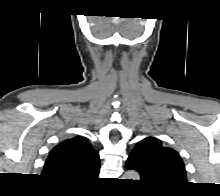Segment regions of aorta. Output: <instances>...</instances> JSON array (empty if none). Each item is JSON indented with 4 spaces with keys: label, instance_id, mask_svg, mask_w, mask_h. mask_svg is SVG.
Segmentation results:
<instances>
[{
    "label": "aorta",
    "instance_id": "aorta-1",
    "mask_svg": "<svg viewBox=\"0 0 220 196\" xmlns=\"http://www.w3.org/2000/svg\"><path fill=\"white\" fill-rule=\"evenodd\" d=\"M124 177H125L124 179L139 180V174L134 170L127 171L124 174Z\"/></svg>",
    "mask_w": 220,
    "mask_h": 196
}]
</instances>
